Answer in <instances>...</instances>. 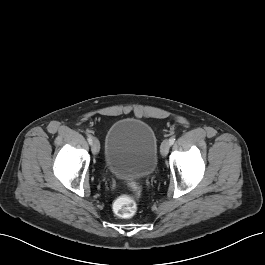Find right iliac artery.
Here are the masks:
<instances>
[{
  "label": "right iliac artery",
  "instance_id": "1",
  "mask_svg": "<svg viewBox=\"0 0 265 265\" xmlns=\"http://www.w3.org/2000/svg\"><path fill=\"white\" fill-rule=\"evenodd\" d=\"M87 140H88V142H89V144H92V137L90 136V135H87Z\"/></svg>",
  "mask_w": 265,
  "mask_h": 265
}]
</instances>
